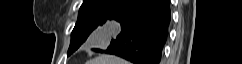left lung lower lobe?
Returning a JSON list of instances; mask_svg holds the SVG:
<instances>
[{
  "mask_svg": "<svg viewBox=\"0 0 242 64\" xmlns=\"http://www.w3.org/2000/svg\"><path fill=\"white\" fill-rule=\"evenodd\" d=\"M170 0H124L106 15L121 27L100 53L120 56L134 64H159L171 22Z\"/></svg>",
  "mask_w": 242,
  "mask_h": 64,
  "instance_id": "1",
  "label": "left lung lower lobe"
}]
</instances>
